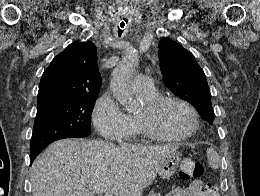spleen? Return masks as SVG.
<instances>
[{
  "label": "spleen",
  "instance_id": "obj_1",
  "mask_svg": "<svg viewBox=\"0 0 260 196\" xmlns=\"http://www.w3.org/2000/svg\"><path fill=\"white\" fill-rule=\"evenodd\" d=\"M206 154L210 168H213V170H218L221 166V160L217 152H215L214 148H207Z\"/></svg>",
  "mask_w": 260,
  "mask_h": 196
}]
</instances>
